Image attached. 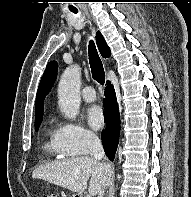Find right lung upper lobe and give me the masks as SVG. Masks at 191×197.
I'll use <instances>...</instances> for the list:
<instances>
[{
	"label": "right lung upper lobe",
	"instance_id": "1",
	"mask_svg": "<svg viewBox=\"0 0 191 197\" xmlns=\"http://www.w3.org/2000/svg\"><path fill=\"white\" fill-rule=\"evenodd\" d=\"M96 43L101 55L104 58L110 57L111 51L107 43L105 42L102 34L97 31ZM58 64L55 61H51L47 64L42 79L40 81L38 92L35 101V123L41 122L44 111V98L51 90L53 83L56 80Z\"/></svg>",
	"mask_w": 191,
	"mask_h": 197
}]
</instances>
